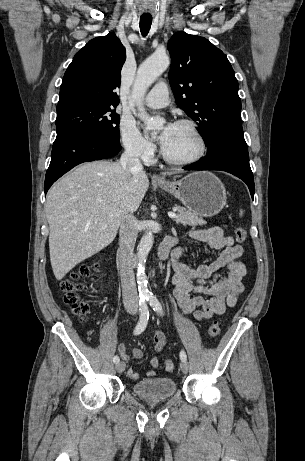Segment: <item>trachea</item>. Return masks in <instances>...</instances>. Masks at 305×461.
I'll use <instances>...</instances> for the list:
<instances>
[{"label": "trachea", "mask_w": 305, "mask_h": 461, "mask_svg": "<svg viewBox=\"0 0 305 461\" xmlns=\"http://www.w3.org/2000/svg\"><path fill=\"white\" fill-rule=\"evenodd\" d=\"M152 18L141 17L140 18V31L143 36H146L151 28Z\"/></svg>", "instance_id": "3493384b"}]
</instances>
